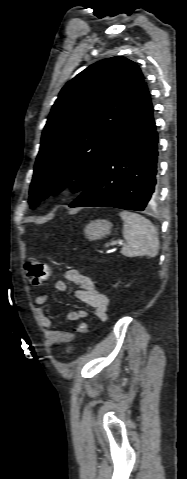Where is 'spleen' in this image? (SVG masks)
Segmentation results:
<instances>
[{"mask_svg": "<svg viewBox=\"0 0 187 479\" xmlns=\"http://www.w3.org/2000/svg\"><path fill=\"white\" fill-rule=\"evenodd\" d=\"M120 217L123 220V237L127 240L121 253L126 257H156L159 238L151 221L128 211L120 212Z\"/></svg>", "mask_w": 187, "mask_h": 479, "instance_id": "spleen-1", "label": "spleen"}]
</instances>
